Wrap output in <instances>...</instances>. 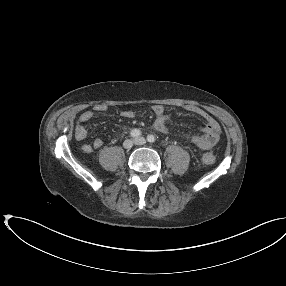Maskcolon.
<instances>
[{
    "instance_id": "obj_1",
    "label": "colon",
    "mask_w": 286,
    "mask_h": 286,
    "mask_svg": "<svg viewBox=\"0 0 286 286\" xmlns=\"http://www.w3.org/2000/svg\"><path fill=\"white\" fill-rule=\"evenodd\" d=\"M202 162L205 165H212L215 162V156L212 153H204L202 156Z\"/></svg>"
}]
</instances>
